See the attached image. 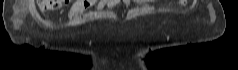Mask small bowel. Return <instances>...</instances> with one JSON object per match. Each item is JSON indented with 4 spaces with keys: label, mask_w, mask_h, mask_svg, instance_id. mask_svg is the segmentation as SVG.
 <instances>
[{
    "label": "small bowel",
    "mask_w": 238,
    "mask_h": 70,
    "mask_svg": "<svg viewBox=\"0 0 238 70\" xmlns=\"http://www.w3.org/2000/svg\"><path fill=\"white\" fill-rule=\"evenodd\" d=\"M131 0H100L96 4V9L101 10L104 7L113 8L116 6H120L123 3L125 6L129 7L131 5ZM135 3H142L144 0H134ZM92 4L90 0H78L72 6L69 17L74 18L83 12L88 6Z\"/></svg>",
    "instance_id": "1"
}]
</instances>
